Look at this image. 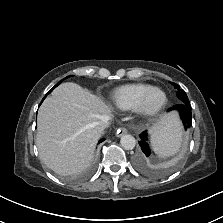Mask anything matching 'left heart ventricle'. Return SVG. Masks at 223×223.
<instances>
[{
	"label": "left heart ventricle",
	"instance_id": "left-heart-ventricle-1",
	"mask_svg": "<svg viewBox=\"0 0 223 223\" xmlns=\"http://www.w3.org/2000/svg\"><path fill=\"white\" fill-rule=\"evenodd\" d=\"M163 101V95L161 92L156 91L148 99L147 106L149 109H155L158 107Z\"/></svg>",
	"mask_w": 223,
	"mask_h": 223
}]
</instances>
